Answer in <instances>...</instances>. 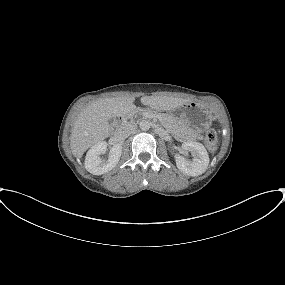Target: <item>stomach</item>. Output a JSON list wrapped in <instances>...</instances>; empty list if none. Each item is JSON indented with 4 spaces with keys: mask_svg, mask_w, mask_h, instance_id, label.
Instances as JSON below:
<instances>
[{
    "mask_svg": "<svg viewBox=\"0 0 285 285\" xmlns=\"http://www.w3.org/2000/svg\"><path fill=\"white\" fill-rule=\"evenodd\" d=\"M176 119L196 133L207 130L212 123V113L203 104L190 101L172 111Z\"/></svg>",
    "mask_w": 285,
    "mask_h": 285,
    "instance_id": "0dacf381",
    "label": "stomach"
}]
</instances>
